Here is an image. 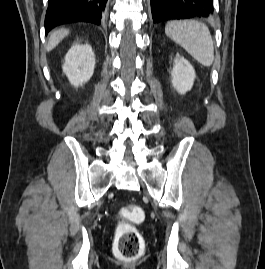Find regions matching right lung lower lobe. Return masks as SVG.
<instances>
[{
  "mask_svg": "<svg viewBox=\"0 0 265 269\" xmlns=\"http://www.w3.org/2000/svg\"><path fill=\"white\" fill-rule=\"evenodd\" d=\"M107 0H49L45 17L46 34L56 26L84 21L101 23Z\"/></svg>",
  "mask_w": 265,
  "mask_h": 269,
  "instance_id": "1",
  "label": "right lung lower lobe"
}]
</instances>
